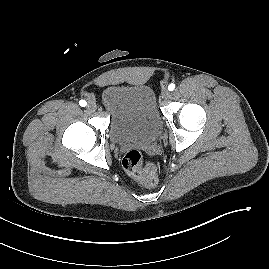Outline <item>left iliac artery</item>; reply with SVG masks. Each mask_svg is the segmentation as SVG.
Masks as SVG:
<instances>
[{"mask_svg": "<svg viewBox=\"0 0 269 269\" xmlns=\"http://www.w3.org/2000/svg\"><path fill=\"white\" fill-rule=\"evenodd\" d=\"M168 89L169 91H173L175 89V84L174 83L169 84Z\"/></svg>", "mask_w": 269, "mask_h": 269, "instance_id": "44dca946", "label": "left iliac artery"}]
</instances>
